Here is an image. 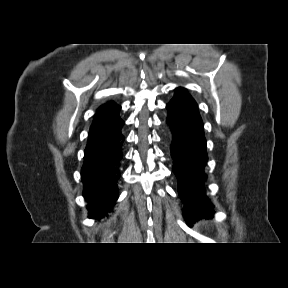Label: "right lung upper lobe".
<instances>
[{
	"instance_id": "right-lung-upper-lobe-1",
	"label": "right lung upper lobe",
	"mask_w": 288,
	"mask_h": 288,
	"mask_svg": "<svg viewBox=\"0 0 288 288\" xmlns=\"http://www.w3.org/2000/svg\"><path fill=\"white\" fill-rule=\"evenodd\" d=\"M121 107L115 102H107L97 109L90 127L87 145L104 141L115 134L123 122L119 117Z\"/></svg>"
}]
</instances>
